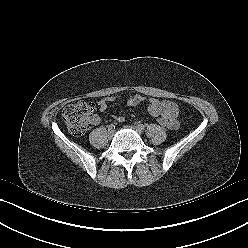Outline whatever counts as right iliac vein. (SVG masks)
<instances>
[{
	"instance_id": "obj_1",
	"label": "right iliac vein",
	"mask_w": 248,
	"mask_h": 248,
	"mask_svg": "<svg viewBox=\"0 0 248 248\" xmlns=\"http://www.w3.org/2000/svg\"><path fill=\"white\" fill-rule=\"evenodd\" d=\"M114 135V130H109L108 131V136L111 138Z\"/></svg>"
}]
</instances>
